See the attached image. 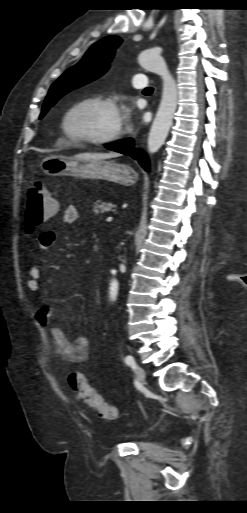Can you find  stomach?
<instances>
[{
    "mask_svg": "<svg viewBox=\"0 0 247 513\" xmlns=\"http://www.w3.org/2000/svg\"><path fill=\"white\" fill-rule=\"evenodd\" d=\"M42 171L49 176L68 175L79 178L106 180L131 186L138 180V174L127 164L106 160L73 159L63 156H49L41 162Z\"/></svg>",
    "mask_w": 247,
    "mask_h": 513,
    "instance_id": "0dacf381",
    "label": "stomach"
}]
</instances>
